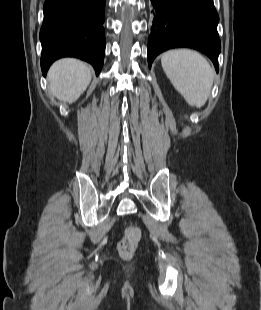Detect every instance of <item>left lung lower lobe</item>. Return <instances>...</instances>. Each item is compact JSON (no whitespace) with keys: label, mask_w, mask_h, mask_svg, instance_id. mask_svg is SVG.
<instances>
[{"label":"left lung lower lobe","mask_w":261,"mask_h":310,"mask_svg":"<svg viewBox=\"0 0 261 310\" xmlns=\"http://www.w3.org/2000/svg\"><path fill=\"white\" fill-rule=\"evenodd\" d=\"M153 25L148 40V65L161 52L190 47L205 53L218 72L221 50L213 0H149Z\"/></svg>","instance_id":"left-lung-lower-lobe-1"}]
</instances>
